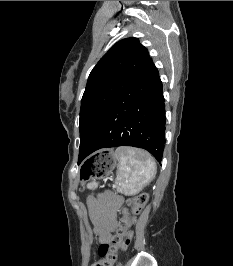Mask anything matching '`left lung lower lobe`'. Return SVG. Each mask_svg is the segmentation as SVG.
<instances>
[{
	"mask_svg": "<svg viewBox=\"0 0 233 266\" xmlns=\"http://www.w3.org/2000/svg\"><path fill=\"white\" fill-rule=\"evenodd\" d=\"M162 89L158 70L150 58L79 152L78 163L98 149L116 146L146 149L160 162L166 121Z\"/></svg>",
	"mask_w": 233,
	"mask_h": 266,
	"instance_id": "obj_1",
	"label": "left lung lower lobe"
}]
</instances>
